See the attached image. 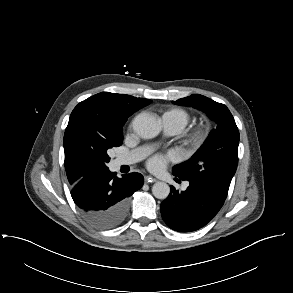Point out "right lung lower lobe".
<instances>
[{
	"label": "right lung lower lobe",
	"mask_w": 293,
	"mask_h": 293,
	"mask_svg": "<svg viewBox=\"0 0 293 293\" xmlns=\"http://www.w3.org/2000/svg\"><path fill=\"white\" fill-rule=\"evenodd\" d=\"M143 182L140 173L119 178L107 167L82 175L73 185L71 196L85 219L116 215L123 216L124 220L129 210V197L142 187Z\"/></svg>",
	"instance_id": "right-lung-lower-lobe-1"
}]
</instances>
